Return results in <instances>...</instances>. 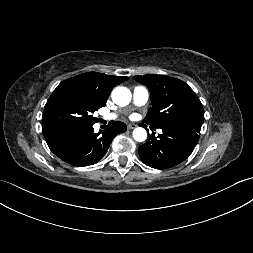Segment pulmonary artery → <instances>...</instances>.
I'll use <instances>...</instances> for the list:
<instances>
[{"mask_svg": "<svg viewBox=\"0 0 253 253\" xmlns=\"http://www.w3.org/2000/svg\"><path fill=\"white\" fill-rule=\"evenodd\" d=\"M133 103L137 106L144 105L149 99V90L145 86H135L132 92ZM117 114H107L104 119L112 120Z\"/></svg>", "mask_w": 253, "mask_h": 253, "instance_id": "pulmonary-artery-1", "label": "pulmonary artery"}]
</instances>
